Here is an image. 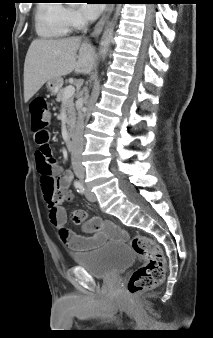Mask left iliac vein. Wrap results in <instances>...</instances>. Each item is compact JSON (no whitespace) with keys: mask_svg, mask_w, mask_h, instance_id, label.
Segmentation results:
<instances>
[{"mask_svg":"<svg viewBox=\"0 0 213 338\" xmlns=\"http://www.w3.org/2000/svg\"><path fill=\"white\" fill-rule=\"evenodd\" d=\"M85 195L86 198L91 202H95L97 200L95 194L87 186H85Z\"/></svg>","mask_w":213,"mask_h":338,"instance_id":"obj_1","label":"left iliac vein"}]
</instances>
